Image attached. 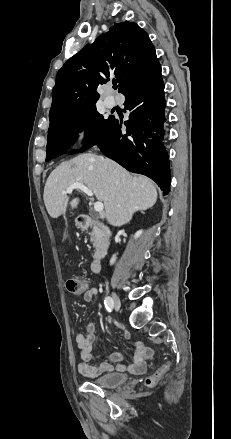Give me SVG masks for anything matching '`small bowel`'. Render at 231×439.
<instances>
[{
	"instance_id": "small-bowel-1",
	"label": "small bowel",
	"mask_w": 231,
	"mask_h": 439,
	"mask_svg": "<svg viewBox=\"0 0 231 439\" xmlns=\"http://www.w3.org/2000/svg\"><path fill=\"white\" fill-rule=\"evenodd\" d=\"M98 292L99 291L97 288H88L81 294H83L85 302H91ZM124 337L125 339H130V334L125 331ZM75 341L79 349V357L81 362L78 365V370L81 374L89 377H95L114 370V367L109 362H102L97 366H92L89 364V361L92 358L93 343L95 341V325L93 323H89L86 326L85 334H77L75 336ZM134 348L135 351L133 362L129 365L119 363L116 366V370L129 371L132 373H142L146 370L147 365L145 351L147 348L142 342H136L134 344ZM110 360L113 362H118L121 360V355L115 353L110 356Z\"/></svg>"
}]
</instances>
